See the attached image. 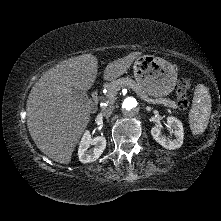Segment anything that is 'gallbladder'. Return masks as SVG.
I'll use <instances>...</instances> for the list:
<instances>
[{"mask_svg":"<svg viewBox=\"0 0 221 221\" xmlns=\"http://www.w3.org/2000/svg\"><path fill=\"white\" fill-rule=\"evenodd\" d=\"M73 93H74V96L77 98V100H79L82 103H84L88 100V97H87L86 93H84V92L73 90Z\"/></svg>","mask_w":221,"mask_h":221,"instance_id":"gallbladder-1","label":"gallbladder"}]
</instances>
